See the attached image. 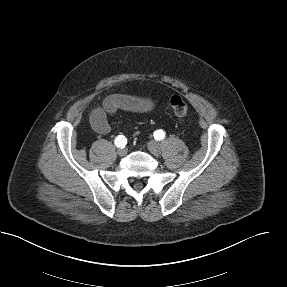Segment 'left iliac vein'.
Listing matches in <instances>:
<instances>
[{
  "label": "left iliac vein",
  "mask_w": 287,
  "mask_h": 287,
  "mask_svg": "<svg viewBox=\"0 0 287 287\" xmlns=\"http://www.w3.org/2000/svg\"><path fill=\"white\" fill-rule=\"evenodd\" d=\"M147 148L152 154H154L156 156H158L161 153L160 144L154 140L149 141L147 143Z\"/></svg>",
  "instance_id": "4c4485c4"
}]
</instances>
